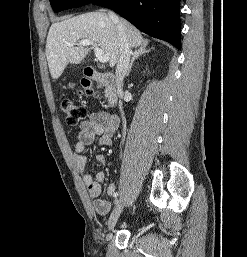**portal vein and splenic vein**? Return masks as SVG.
Returning <instances> with one entry per match:
<instances>
[{
	"label": "portal vein and splenic vein",
	"instance_id": "obj_1",
	"mask_svg": "<svg viewBox=\"0 0 247 257\" xmlns=\"http://www.w3.org/2000/svg\"><path fill=\"white\" fill-rule=\"evenodd\" d=\"M68 46H73L74 44L73 43H67ZM78 45H81V46H92L93 49H94V52H95V56L96 58L101 62V63H106L109 61V57L108 55H106L102 49H100L98 47V45L96 43H94L93 41H90V40H82L78 43Z\"/></svg>",
	"mask_w": 247,
	"mask_h": 257
}]
</instances>
